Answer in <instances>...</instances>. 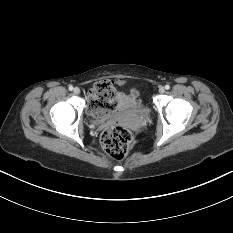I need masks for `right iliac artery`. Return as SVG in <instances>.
Instances as JSON below:
<instances>
[{
    "mask_svg": "<svg viewBox=\"0 0 233 233\" xmlns=\"http://www.w3.org/2000/svg\"><path fill=\"white\" fill-rule=\"evenodd\" d=\"M68 89H69L70 91H72V90H73V86L70 85Z\"/></svg>",
    "mask_w": 233,
    "mask_h": 233,
    "instance_id": "right-iliac-artery-1",
    "label": "right iliac artery"
}]
</instances>
